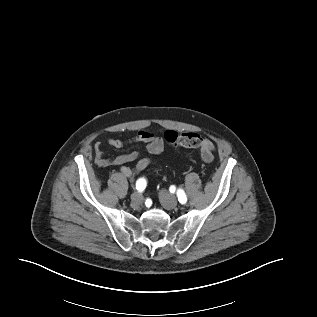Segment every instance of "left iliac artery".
<instances>
[{"instance_id": "1", "label": "left iliac artery", "mask_w": 317, "mask_h": 317, "mask_svg": "<svg viewBox=\"0 0 317 317\" xmlns=\"http://www.w3.org/2000/svg\"><path fill=\"white\" fill-rule=\"evenodd\" d=\"M171 188H174V187H171ZM177 197H178V201L181 203V204H185L187 202V197L184 193V191L182 189H179L177 191Z\"/></svg>"}]
</instances>
